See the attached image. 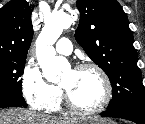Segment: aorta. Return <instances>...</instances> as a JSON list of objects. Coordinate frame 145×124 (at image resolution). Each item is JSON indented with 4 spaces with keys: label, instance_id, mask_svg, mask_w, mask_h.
<instances>
[{
    "label": "aorta",
    "instance_id": "1",
    "mask_svg": "<svg viewBox=\"0 0 145 124\" xmlns=\"http://www.w3.org/2000/svg\"><path fill=\"white\" fill-rule=\"evenodd\" d=\"M71 17L65 13H50L45 17L44 27L36 40V57L43 75L49 82H58L62 73L70 68L65 57L56 56L53 44L69 26Z\"/></svg>",
    "mask_w": 145,
    "mask_h": 124
}]
</instances>
